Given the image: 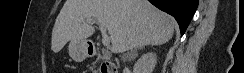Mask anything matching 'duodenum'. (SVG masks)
<instances>
[{"instance_id": "1", "label": "duodenum", "mask_w": 244, "mask_h": 73, "mask_svg": "<svg viewBox=\"0 0 244 73\" xmlns=\"http://www.w3.org/2000/svg\"><path fill=\"white\" fill-rule=\"evenodd\" d=\"M99 51L98 47H92L91 45L87 48V54L90 57L97 55ZM101 73H116V70L110 62L104 61L101 65Z\"/></svg>"}]
</instances>
